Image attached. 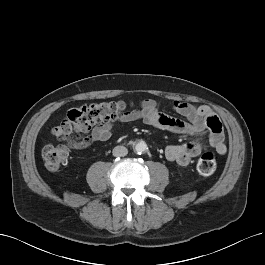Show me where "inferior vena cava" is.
I'll use <instances>...</instances> for the list:
<instances>
[{"instance_id":"obj_1","label":"inferior vena cava","mask_w":265,"mask_h":265,"mask_svg":"<svg viewBox=\"0 0 265 265\" xmlns=\"http://www.w3.org/2000/svg\"><path fill=\"white\" fill-rule=\"evenodd\" d=\"M112 153H113V156L115 157H124L128 154V149L124 146L118 145L114 147Z\"/></svg>"}]
</instances>
